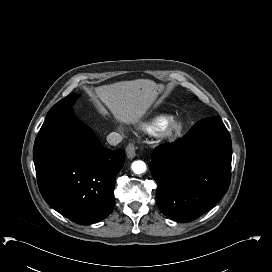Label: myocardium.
Returning a JSON list of instances; mask_svg holds the SVG:
<instances>
[{
    "mask_svg": "<svg viewBox=\"0 0 272 272\" xmlns=\"http://www.w3.org/2000/svg\"><path fill=\"white\" fill-rule=\"evenodd\" d=\"M182 130L183 125L181 122H173L166 128L165 134L168 137H175L178 136L182 132Z\"/></svg>",
    "mask_w": 272,
    "mask_h": 272,
    "instance_id": "f54148a6",
    "label": "myocardium"
}]
</instances>
